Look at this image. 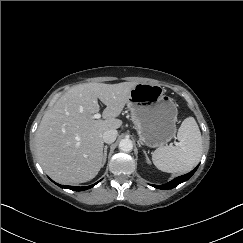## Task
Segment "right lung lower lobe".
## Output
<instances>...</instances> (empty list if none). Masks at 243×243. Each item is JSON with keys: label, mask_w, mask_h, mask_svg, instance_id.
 <instances>
[{"label": "right lung lower lobe", "mask_w": 243, "mask_h": 243, "mask_svg": "<svg viewBox=\"0 0 243 243\" xmlns=\"http://www.w3.org/2000/svg\"><path fill=\"white\" fill-rule=\"evenodd\" d=\"M57 185L62 188H67V189H71V190H75V191H82V190H87V189L93 187L94 185H96V183L91 186H87V187L65 186V185H59V184H57Z\"/></svg>", "instance_id": "obj_1"}]
</instances>
